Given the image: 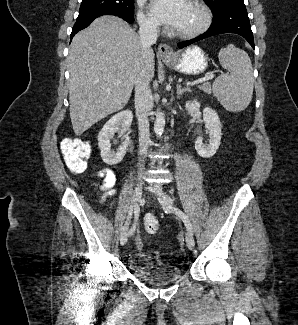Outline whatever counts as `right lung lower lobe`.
Segmentation results:
<instances>
[{
    "label": "right lung lower lobe",
    "instance_id": "obj_1",
    "mask_svg": "<svg viewBox=\"0 0 298 325\" xmlns=\"http://www.w3.org/2000/svg\"><path fill=\"white\" fill-rule=\"evenodd\" d=\"M115 15L118 17H121L122 19L126 20L128 23H133L134 18L133 16L126 15V14H119V13H108V12H102V13H97L91 16H86V17H78L77 21L72 28V33H71V38L80 30L86 28L95 18L102 16V15Z\"/></svg>",
    "mask_w": 298,
    "mask_h": 325
}]
</instances>
